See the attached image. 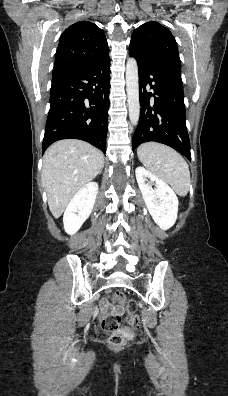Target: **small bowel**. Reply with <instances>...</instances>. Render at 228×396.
Wrapping results in <instances>:
<instances>
[{"instance_id": "obj_1", "label": "small bowel", "mask_w": 228, "mask_h": 396, "mask_svg": "<svg viewBox=\"0 0 228 396\" xmlns=\"http://www.w3.org/2000/svg\"><path fill=\"white\" fill-rule=\"evenodd\" d=\"M101 310L104 314L121 313L122 308L112 306L107 300L101 301Z\"/></svg>"}]
</instances>
